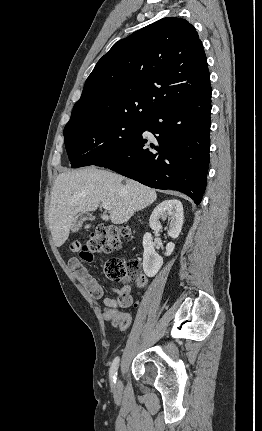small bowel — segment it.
Here are the masks:
<instances>
[{
    "mask_svg": "<svg viewBox=\"0 0 262 431\" xmlns=\"http://www.w3.org/2000/svg\"><path fill=\"white\" fill-rule=\"evenodd\" d=\"M69 266L73 270L76 279L92 297L103 299L105 316H118L121 314L119 312L120 308H129L137 305V301L131 294L130 286H123L118 289L116 298L104 297V287L89 274L88 270L82 266L76 258L73 257L69 259ZM127 316L129 317V315ZM119 329L124 330L121 328Z\"/></svg>",
    "mask_w": 262,
    "mask_h": 431,
    "instance_id": "small-bowel-1",
    "label": "small bowel"
}]
</instances>
